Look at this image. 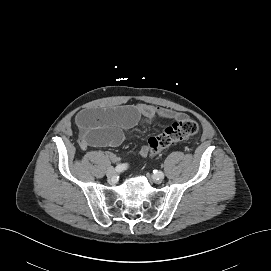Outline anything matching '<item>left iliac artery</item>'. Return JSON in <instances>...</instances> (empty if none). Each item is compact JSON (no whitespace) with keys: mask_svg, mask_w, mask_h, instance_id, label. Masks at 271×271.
<instances>
[{"mask_svg":"<svg viewBox=\"0 0 271 271\" xmlns=\"http://www.w3.org/2000/svg\"><path fill=\"white\" fill-rule=\"evenodd\" d=\"M154 174H155L156 176H159V177H163V176H164L163 172H162V171H158V170H155V171H154Z\"/></svg>","mask_w":271,"mask_h":271,"instance_id":"obj_1","label":"left iliac artery"}]
</instances>
